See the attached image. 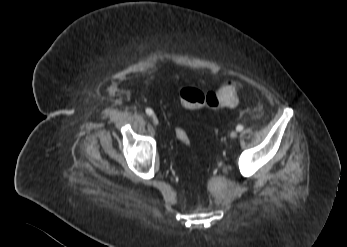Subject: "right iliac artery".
<instances>
[{"label":"right iliac artery","instance_id":"82829eb1","mask_svg":"<svg viewBox=\"0 0 347 247\" xmlns=\"http://www.w3.org/2000/svg\"><path fill=\"white\" fill-rule=\"evenodd\" d=\"M146 113H147L148 115H152V114H153V110L150 109V108H147V109H146Z\"/></svg>","mask_w":347,"mask_h":247}]
</instances>
